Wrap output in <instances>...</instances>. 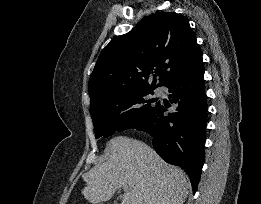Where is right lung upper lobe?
<instances>
[{
  "instance_id": "right-lung-upper-lobe-1",
  "label": "right lung upper lobe",
  "mask_w": 261,
  "mask_h": 204,
  "mask_svg": "<svg viewBox=\"0 0 261 204\" xmlns=\"http://www.w3.org/2000/svg\"><path fill=\"white\" fill-rule=\"evenodd\" d=\"M201 58V48L185 17L159 12L144 18L101 52L89 80L90 107L127 91L165 86Z\"/></svg>"
}]
</instances>
